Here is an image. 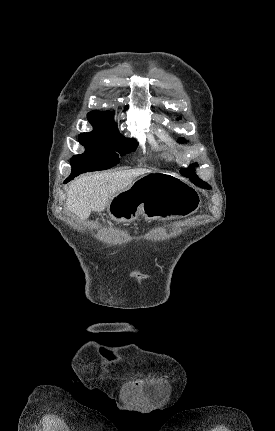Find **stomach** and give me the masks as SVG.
<instances>
[{
    "label": "stomach",
    "instance_id": "1",
    "mask_svg": "<svg viewBox=\"0 0 275 431\" xmlns=\"http://www.w3.org/2000/svg\"><path fill=\"white\" fill-rule=\"evenodd\" d=\"M201 205L199 193L186 181L162 172L145 174L116 194L107 211L117 222L130 223L143 215L148 220L190 216Z\"/></svg>",
    "mask_w": 275,
    "mask_h": 431
}]
</instances>
